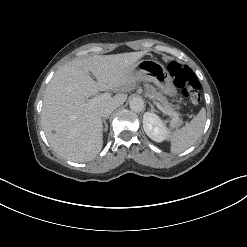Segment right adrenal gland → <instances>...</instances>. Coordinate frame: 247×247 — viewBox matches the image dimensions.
Listing matches in <instances>:
<instances>
[{"mask_svg":"<svg viewBox=\"0 0 247 247\" xmlns=\"http://www.w3.org/2000/svg\"><path fill=\"white\" fill-rule=\"evenodd\" d=\"M107 119H108V117L103 118V124H104V126H105V128H104L105 131L108 130V124H107V122H106Z\"/></svg>","mask_w":247,"mask_h":247,"instance_id":"obj_1","label":"right adrenal gland"}]
</instances>
